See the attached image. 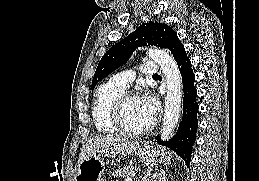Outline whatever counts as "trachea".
Returning <instances> with one entry per match:
<instances>
[{
  "mask_svg": "<svg viewBox=\"0 0 259 181\" xmlns=\"http://www.w3.org/2000/svg\"><path fill=\"white\" fill-rule=\"evenodd\" d=\"M153 76H159L158 74H155V75H153Z\"/></svg>",
  "mask_w": 259,
  "mask_h": 181,
  "instance_id": "obj_1",
  "label": "trachea"
}]
</instances>
